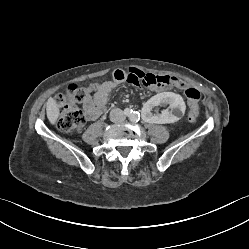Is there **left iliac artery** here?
Here are the masks:
<instances>
[{
    "label": "left iliac artery",
    "mask_w": 249,
    "mask_h": 249,
    "mask_svg": "<svg viewBox=\"0 0 249 249\" xmlns=\"http://www.w3.org/2000/svg\"><path fill=\"white\" fill-rule=\"evenodd\" d=\"M139 117H140L139 113L134 111V113L132 115V121L137 122L139 120Z\"/></svg>",
    "instance_id": "obj_1"
}]
</instances>
